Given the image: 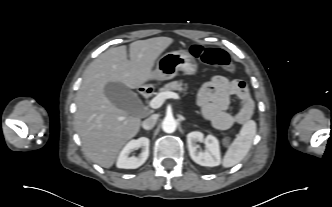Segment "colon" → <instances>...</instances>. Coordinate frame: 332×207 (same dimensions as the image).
<instances>
[{"instance_id":"colon-1","label":"colon","mask_w":332,"mask_h":207,"mask_svg":"<svg viewBox=\"0 0 332 207\" xmlns=\"http://www.w3.org/2000/svg\"><path fill=\"white\" fill-rule=\"evenodd\" d=\"M190 53L206 64L220 66L229 73L236 72V65L232 62L229 54L222 49L194 44L190 47ZM222 142L224 145H228L230 138L226 136Z\"/></svg>"}]
</instances>
